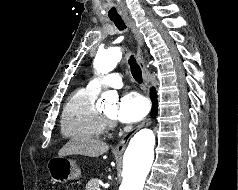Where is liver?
<instances>
[{"mask_svg": "<svg viewBox=\"0 0 238 190\" xmlns=\"http://www.w3.org/2000/svg\"><path fill=\"white\" fill-rule=\"evenodd\" d=\"M109 150V145L103 141L90 138H72L58 152L59 157L68 155H83L99 157Z\"/></svg>", "mask_w": 238, "mask_h": 190, "instance_id": "6515ba94", "label": "liver"}]
</instances>
